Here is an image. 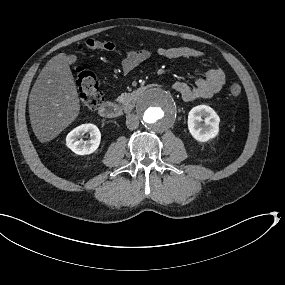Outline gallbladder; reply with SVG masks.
Wrapping results in <instances>:
<instances>
[{"mask_svg":"<svg viewBox=\"0 0 285 285\" xmlns=\"http://www.w3.org/2000/svg\"><path fill=\"white\" fill-rule=\"evenodd\" d=\"M68 62H69L71 65L77 63V62H78V57H77V55H75V54H70V55L68 56Z\"/></svg>","mask_w":285,"mask_h":285,"instance_id":"bac80fb5","label":"gallbladder"}]
</instances>
